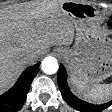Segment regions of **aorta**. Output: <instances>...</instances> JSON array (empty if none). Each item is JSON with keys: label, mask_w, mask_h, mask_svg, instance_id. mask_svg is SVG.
Returning <instances> with one entry per match:
<instances>
[{"label": "aorta", "mask_w": 112, "mask_h": 112, "mask_svg": "<svg viewBox=\"0 0 112 112\" xmlns=\"http://www.w3.org/2000/svg\"><path fill=\"white\" fill-rule=\"evenodd\" d=\"M58 68V62L54 57L48 56L41 62V70L47 75L56 73L58 71Z\"/></svg>", "instance_id": "aorta-1"}]
</instances>
